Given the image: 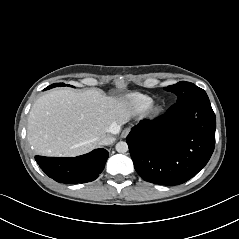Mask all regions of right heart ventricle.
Segmentation results:
<instances>
[{
  "mask_svg": "<svg viewBox=\"0 0 239 239\" xmlns=\"http://www.w3.org/2000/svg\"><path fill=\"white\" fill-rule=\"evenodd\" d=\"M127 101L129 105L136 111L147 110L153 104L152 97L141 93L130 94L127 97Z\"/></svg>",
  "mask_w": 239,
  "mask_h": 239,
  "instance_id": "e07e8e85",
  "label": "right heart ventricle"
}]
</instances>
